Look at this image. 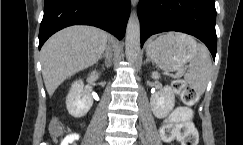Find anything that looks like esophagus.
Returning <instances> with one entry per match:
<instances>
[{"instance_id": "obj_1", "label": "esophagus", "mask_w": 243, "mask_h": 145, "mask_svg": "<svg viewBox=\"0 0 243 145\" xmlns=\"http://www.w3.org/2000/svg\"><path fill=\"white\" fill-rule=\"evenodd\" d=\"M138 0H131L132 5L135 7L137 5Z\"/></svg>"}]
</instances>
